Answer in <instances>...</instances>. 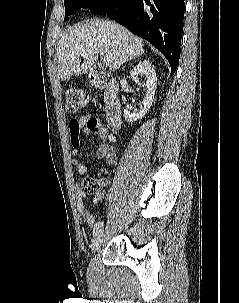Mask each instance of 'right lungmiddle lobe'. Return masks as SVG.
<instances>
[{
    "label": "right lung middle lobe",
    "mask_w": 239,
    "mask_h": 303,
    "mask_svg": "<svg viewBox=\"0 0 239 303\" xmlns=\"http://www.w3.org/2000/svg\"><path fill=\"white\" fill-rule=\"evenodd\" d=\"M106 0H64L65 3V20L74 11L80 10L82 8L94 10L99 7Z\"/></svg>",
    "instance_id": "dd1d6c3e"
}]
</instances>
